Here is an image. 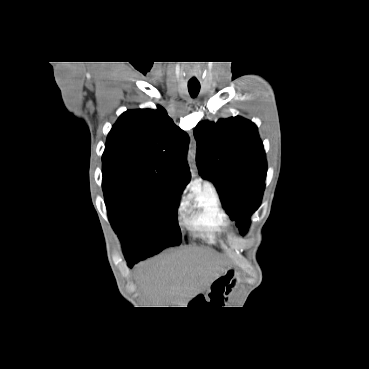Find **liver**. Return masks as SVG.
<instances>
[{
	"instance_id": "1",
	"label": "liver",
	"mask_w": 369,
	"mask_h": 369,
	"mask_svg": "<svg viewBox=\"0 0 369 369\" xmlns=\"http://www.w3.org/2000/svg\"><path fill=\"white\" fill-rule=\"evenodd\" d=\"M221 260L214 253L189 247L140 265L138 282L151 307H168L208 286L219 275ZM183 305V304H181Z\"/></svg>"
}]
</instances>
